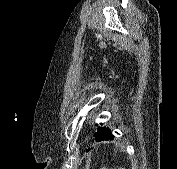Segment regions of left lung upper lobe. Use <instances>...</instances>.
<instances>
[{
	"label": "left lung upper lobe",
	"mask_w": 177,
	"mask_h": 169,
	"mask_svg": "<svg viewBox=\"0 0 177 169\" xmlns=\"http://www.w3.org/2000/svg\"><path fill=\"white\" fill-rule=\"evenodd\" d=\"M102 125V124H101ZM106 132H108V128L106 127H98V132L94 134L95 139L99 136V135H103Z\"/></svg>",
	"instance_id": "5c2ea615"
}]
</instances>
